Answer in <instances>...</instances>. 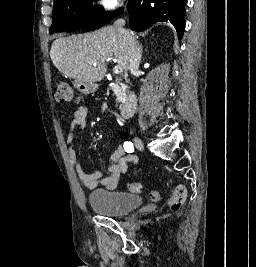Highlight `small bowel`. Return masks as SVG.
<instances>
[{"instance_id":"obj_1","label":"small bowel","mask_w":256,"mask_h":267,"mask_svg":"<svg viewBox=\"0 0 256 267\" xmlns=\"http://www.w3.org/2000/svg\"><path fill=\"white\" fill-rule=\"evenodd\" d=\"M87 117L88 108L84 105L79 106L73 112L67 136V143L70 146V160L84 187L87 189H95L101 185L106 190L113 191L118 187L121 177L127 172L128 165H136L138 163V158L134 154H126L122 147H118L110 155L108 176L104 177L99 170L86 172L80 164L74 144L76 141V133L82 131L86 126Z\"/></svg>"}]
</instances>
